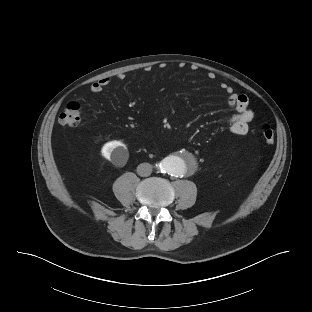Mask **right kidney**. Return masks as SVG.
Segmentation results:
<instances>
[{
    "label": "right kidney",
    "instance_id": "1",
    "mask_svg": "<svg viewBox=\"0 0 312 312\" xmlns=\"http://www.w3.org/2000/svg\"><path fill=\"white\" fill-rule=\"evenodd\" d=\"M101 154L113 163L126 162L129 157L126 146L120 141H111L104 144Z\"/></svg>",
    "mask_w": 312,
    "mask_h": 312
}]
</instances>
